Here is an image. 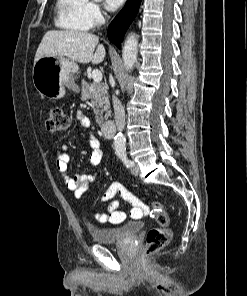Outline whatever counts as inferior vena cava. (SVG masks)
Instances as JSON below:
<instances>
[{
    "instance_id": "1",
    "label": "inferior vena cava",
    "mask_w": 247,
    "mask_h": 296,
    "mask_svg": "<svg viewBox=\"0 0 247 296\" xmlns=\"http://www.w3.org/2000/svg\"><path fill=\"white\" fill-rule=\"evenodd\" d=\"M112 102H113V108H114V113H115V122L118 131H123L125 127V111L124 107L122 106L121 102L119 99L113 95L112 96Z\"/></svg>"
}]
</instances>
